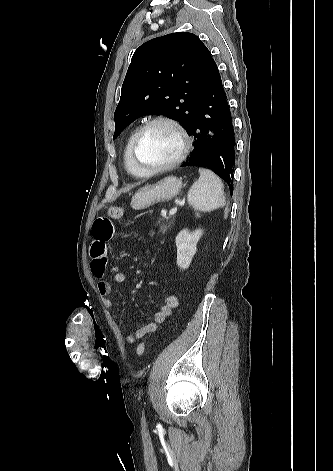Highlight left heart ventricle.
<instances>
[{"mask_svg": "<svg viewBox=\"0 0 333 471\" xmlns=\"http://www.w3.org/2000/svg\"><path fill=\"white\" fill-rule=\"evenodd\" d=\"M176 131L166 124H155L146 132L139 149V159L147 166L166 164L180 152Z\"/></svg>", "mask_w": 333, "mask_h": 471, "instance_id": "obj_1", "label": "left heart ventricle"}]
</instances>
